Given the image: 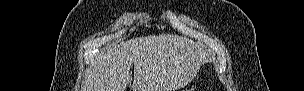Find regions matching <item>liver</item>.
I'll list each match as a JSON object with an SVG mask.
<instances>
[{
  "label": "liver",
  "mask_w": 304,
  "mask_h": 91,
  "mask_svg": "<svg viewBox=\"0 0 304 91\" xmlns=\"http://www.w3.org/2000/svg\"><path fill=\"white\" fill-rule=\"evenodd\" d=\"M204 47L170 34L133 38L99 56L86 71L82 91H125L134 64L133 91H176L207 61Z\"/></svg>",
  "instance_id": "liver-1"
}]
</instances>
